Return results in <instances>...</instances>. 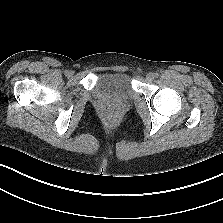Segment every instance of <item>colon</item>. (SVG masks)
I'll use <instances>...</instances> for the list:
<instances>
[{
    "instance_id": "obj_1",
    "label": "colon",
    "mask_w": 223,
    "mask_h": 223,
    "mask_svg": "<svg viewBox=\"0 0 223 223\" xmlns=\"http://www.w3.org/2000/svg\"><path fill=\"white\" fill-rule=\"evenodd\" d=\"M105 121L108 125H112L114 123V117L111 113H106Z\"/></svg>"
}]
</instances>
